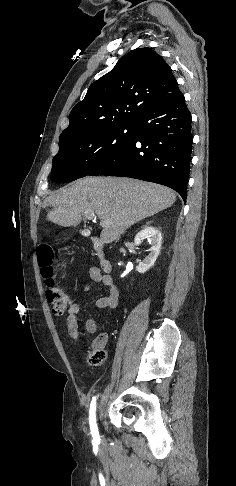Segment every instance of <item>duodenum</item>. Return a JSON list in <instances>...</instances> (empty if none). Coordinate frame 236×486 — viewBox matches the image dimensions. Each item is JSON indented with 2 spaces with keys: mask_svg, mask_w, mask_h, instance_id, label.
<instances>
[{
  "mask_svg": "<svg viewBox=\"0 0 236 486\" xmlns=\"http://www.w3.org/2000/svg\"><path fill=\"white\" fill-rule=\"evenodd\" d=\"M94 249L96 251V254L99 258L101 268L103 271L109 273L111 271V264L109 260L105 257L104 254V244L102 241L95 239L94 240Z\"/></svg>",
  "mask_w": 236,
  "mask_h": 486,
  "instance_id": "duodenum-1",
  "label": "duodenum"
}]
</instances>
